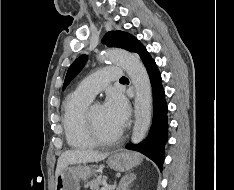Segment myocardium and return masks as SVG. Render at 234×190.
<instances>
[{
	"instance_id": "myocardium-1",
	"label": "myocardium",
	"mask_w": 234,
	"mask_h": 190,
	"mask_svg": "<svg viewBox=\"0 0 234 190\" xmlns=\"http://www.w3.org/2000/svg\"><path fill=\"white\" fill-rule=\"evenodd\" d=\"M92 107H88L85 111V120L90 136L97 144H112L116 142L121 136L123 131L119 129L116 133L106 136L100 133L97 128V125L92 116Z\"/></svg>"
}]
</instances>
